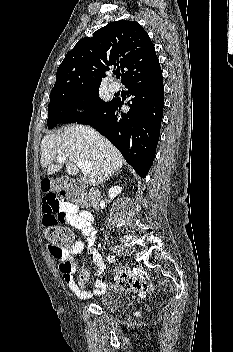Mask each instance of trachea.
<instances>
[{"label": "trachea", "instance_id": "1", "mask_svg": "<svg viewBox=\"0 0 233 352\" xmlns=\"http://www.w3.org/2000/svg\"><path fill=\"white\" fill-rule=\"evenodd\" d=\"M120 76H121V75H120L119 73L116 75L117 78H120Z\"/></svg>", "mask_w": 233, "mask_h": 352}]
</instances>
